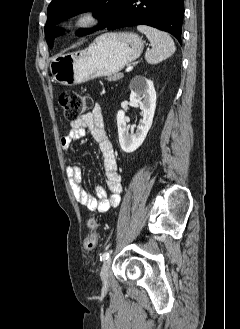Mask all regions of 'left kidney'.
I'll list each match as a JSON object with an SVG mask.
<instances>
[{
    "label": "left kidney",
    "instance_id": "1",
    "mask_svg": "<svg viewBox=\"0 0 240 329\" xmlns=\"http://www.w3.org/2000/svg\"><path fill=\"white\" fill-rule=\"evenodd\" d=\"M130 101L138 104L143 113L140 125L135 133H128L125 112L119 110L117 113V126L119 143L121 149L126 153L134 152L144 142L151 128L156 109V91L153 82L146 77L136 76L130 83Z\"/></svg>",
    "mask_w": 240,
    "mask_h": 329
}]
</instances>
